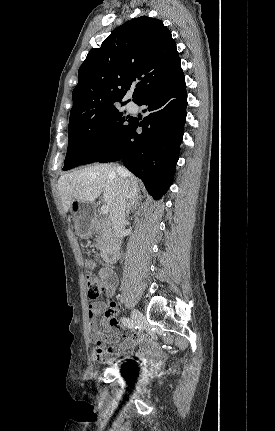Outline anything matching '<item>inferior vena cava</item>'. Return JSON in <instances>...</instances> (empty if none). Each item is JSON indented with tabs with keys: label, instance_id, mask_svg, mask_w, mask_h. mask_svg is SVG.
<instances>
[{
	"label": "inferior vena cava",
	"instance_id": "1",
	"mask_svg": "<svg viewBox=\"0 0 275 431\" xmlns=\"http://www.w3.org/2000/svg\"><path fill=\"white\" fill-rule=\"evenodd\" d=\"M117 172L120 176V189L118 196L116 197V200L110 211V220L112 222V228L115 237L117 239H122L126 223V196L129 189V180L126 178L125 171L123 168L118 167Z\"/></svg>",
	"mask_w": 275,
	"mask_h": 431
}]
</instances>
